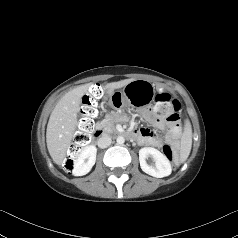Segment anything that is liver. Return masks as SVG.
Here are the masks:
<instances>
[{
    "label": "liver",
    "instance_id": "obj_1",
    "mask_svg": "<svg viewBox=\"0 0 238 238\" xmlns=\"http://www.w3.org/2000/svg\"><path fill=\"white\" fill-rule=\"evenodd\" d=\"M134 79H125L105 85V89L112 93L115 89L126 86ZM91 84L80 85L66 93L53 109L46 131V143L49 154L54 163L61 165L71 144L77 126V112L83 95Z\"/></svg>",
    "mask_w": 238,
    "mask_h": 238
}]
</instances>
